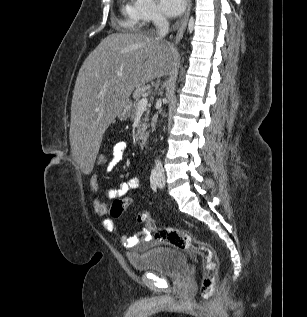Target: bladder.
Returning <instances> with one entry per match:
<instances>
[{"instance_id": "31cf9c89", "label": "bladder", "mask_w": 307, "mask_h": 317, "mask_svg": "<svg viewBox=\"0 0 307 317\" xmlns=\"http://www.w3.org/2000/svg\"><path fill=\"white\" fill-rule=\"evenodd\" d=\"M128 260L137 272L151 271L169 276L180 275L187 264L181 251L169 247H155L141 256L128 255Z\"/></svg>"}]
</instances>
